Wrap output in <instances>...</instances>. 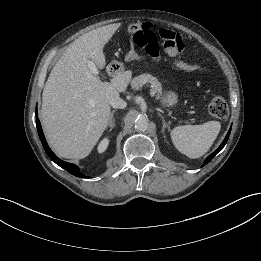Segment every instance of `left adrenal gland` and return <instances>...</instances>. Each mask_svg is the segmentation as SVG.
Returning a JSON list of instances; mask_svg holds the SVG:
<instances>
[{"instance_id":"1","label":"left adrenal gland","mask_w":261,"mask_h":261,"mask_svg":"<svg viewBox=\"0 0 261 261\" xmlns=\"http://www.w3.org/2000/svg\"><path fill=\"white\" fill-rule=\"evenodd\" d=\"M159 116L162 118L163 122V127H162V132L164 133L165 129L168 128L169 130V123H167L162 115L159 114Z\"/></svg>"}]
</instances>
